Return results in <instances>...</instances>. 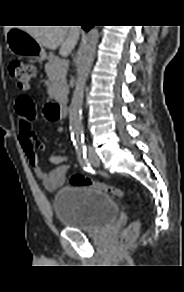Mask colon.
I'll return each mask as SVG.
<instances>
[{
  "label": "colon",
  "instance_id": "colon-1",
  "mask_svg": "<svg viewBox=\"0 0 184 292\" xmlns=\"http://www.w3.org/2000/svg\"><path fill=\"white\" fill-rule=\"evenodd\" d=\"M9 73L15 80L16 85L20 90H27L35 76V67L32 64L25 63L21 60H12L9 64ZM15 109L19 123L24 127L32 126L37 115L36 104L34 100L28 95H21L16 100ZM70 184L72 186H92L114 196H122L124 194L123 191L118 188L109 186L102 182L94 181L81 174L72 175L70 178ZM139 229V220H135L129 224L120 235V243H132L137 238Z\"/></svg>",
  "mask_w": 184,
  "mask_h": 292
}]
</instances>
